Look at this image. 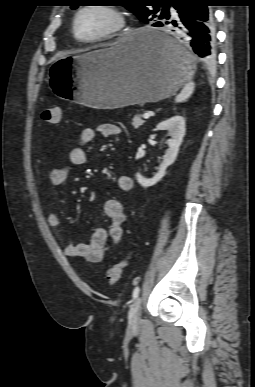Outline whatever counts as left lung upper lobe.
Here are the masks:
<instances>
[{"label": "left lung upper lobe", "instance_id": "1", "mask_svg": "<svg viewBox=\"0 0 255 387\" xmlns=\"http://www.w3.org/2000/svg\"><path fill=\"white\" fill-rule=\"evenodd\" d=\"M85 2L86 0H76ZM128 10L132 11L142 22L151 24L159 20L160 15H164L170 3L175 0H115ZM147 5H151L149 8ZM76 9L78 5L71 6Z\"/></svg>", "mask_w": 255, "mask_h": 387}]
</instances>
